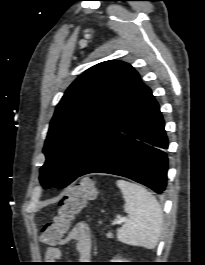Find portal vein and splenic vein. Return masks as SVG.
I'll list each match as a JSON object with an SVG mask.
<instances>
[{"mask_svg":"<svg viewBox=\"0 0 205 265\" xmlns=\"http://www.w3.org/2000/svg\"><path fill=\"white\" fill-rule=\"evenodd\" d=\"M125 221H126L125 218H117V219L114 221V223H115V224H122V223L125 222Z\"/></svg>","mask_w":205,"mask_h":265,"instance_id":"1","label":"portal vein and splenic vein"}]
</instances>
